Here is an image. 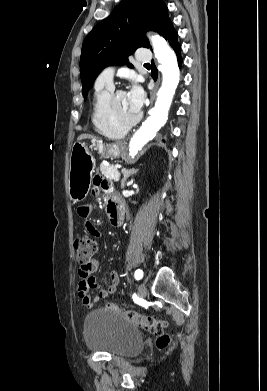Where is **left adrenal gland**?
<instances>
[{"label":"left adrenal gland","instance_id":"obj_1","mask_svg":"<svg viewBox=\"0 0 267 391\" xmlns=\"http://www.w3.org/2000/svg\"><path fill=\"white\" fill-rule=\"evenodd\" d=\"M137 172H138V169H134V168H133V169H126V168H123V169H122V174H123V179H122V181H121V186H122V188H124L127 179H128L130 176L136 174Z\"/></svg>","mask_w":267,"mask_h":391}]
</instances>
